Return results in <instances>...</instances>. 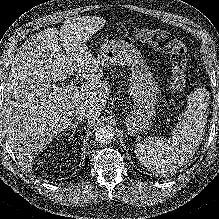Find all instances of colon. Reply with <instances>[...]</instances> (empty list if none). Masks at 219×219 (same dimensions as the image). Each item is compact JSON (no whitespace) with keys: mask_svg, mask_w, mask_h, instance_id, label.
Listing matches in <instances>:
<instances>
[{"mask_svg":"<svg viewBox=\"0 0 219 219\" xmlns=\"http://www.w3.org/2000/svg\"><path fill=\"white\" fill-rule=\"evenodd\" d=\"M125 33L131 39L149 43L170 55L172 67L171 90L173 92L181 91L187 86L189 80L186 76V68L189 54L184 42L180 38L166 31L140 27H130Z\"/></svg>","mask_w":219,"mask_h":219,"instance_id":"5ec220e1","label":"colon"}]
</instances>
